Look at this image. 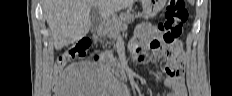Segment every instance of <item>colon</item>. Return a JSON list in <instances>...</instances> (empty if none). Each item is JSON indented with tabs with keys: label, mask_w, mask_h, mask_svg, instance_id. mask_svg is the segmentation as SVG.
<instances>
[{
	"label": "colon",
	"mask_w": 232,
	"mask_h": 96,
	"mask_svg": "<svg viewBox=\"0 0 232 96\" xmlns=\"http://www.w3.org/2000/svg\"><path fill=\"white\" fill-rule=\"evenodd\" d=\"M188 19V11L184 0H168L164 10V18L157 26L158 37L152 41V49H161L164 57L172 58L175 53L174 43L180 37L182 26ZM90 41L80 39L74 45L68 47L57 59L55 69H61L72 59H99V55H93L90 51ZM136 63L143 65L146 62V55L138 47Z\"/></svg>",
	"instance_id": "obj_1"
}]
</instances>
